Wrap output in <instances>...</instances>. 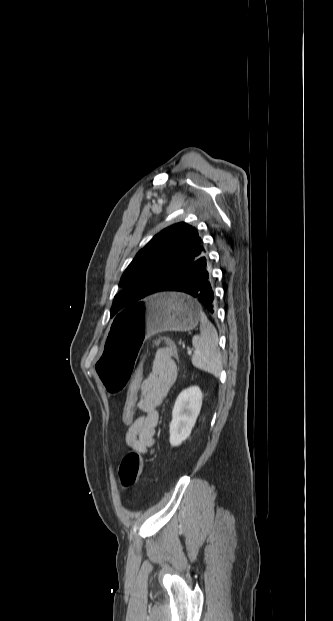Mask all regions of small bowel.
<instances>
[{
    "label": "small bowel",
    "instance_id": "c3829d8e",
    "mask_svg": "<svg viewBox=\"0 0 333 621\" xmlns=\"http://www.w3.org/2000/svg\"><path fill=\"white\" fill-rule=\"evenodd\" d=\"M177 373L170 350L159 349L140 387L137 408L141 415L129 424L126 434L127 445L139 454L146 455L153 451L159 421L158 407L174 384Z\"/></svg>",
    "mask_w": 333,
    "mask_h": 621
}]
</instances>
